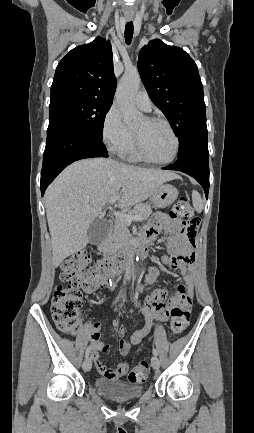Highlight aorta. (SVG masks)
<instances>
[{"instance_id": "1", "label": "aorta", "mask_w": 254, "mask_h": 433, "mask_svg": "<svg viewBox=\"0 0 254 433\" xmlns=\"http://www.w3.org/2000/svg\"><path fill=\"white\" fill-rule=\"evenodd\" d=\"M141 84L137 72H125L116 94V103L122 112L125 124L128 126L137 125L143 118V114L137 110L134 104V96ZM132 255H128L125 268L124 280H130L132 274Z\"/></svg>"}]
</instances>
